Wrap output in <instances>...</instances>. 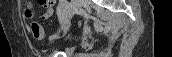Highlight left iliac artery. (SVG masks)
<instances>
[{"label":"left iliac artery","instance_id":"obj_1","mask_svg":"<svg viewBox=\"0 0 172 57\" xmlns=\"http://www.w3.org/2000/svg\"><path fill=\"white\" fill-rule=\"evenodd\" d=\"M66 3V0H60L59 5L57 7V14L61 16V6H63Z\"/></svg>","mask_w":172,"mask_h":57}]
</instances>
